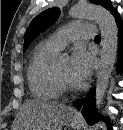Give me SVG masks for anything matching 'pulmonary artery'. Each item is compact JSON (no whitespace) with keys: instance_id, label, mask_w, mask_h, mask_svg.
<instances>
[{"instance_id":"1","label":"pulmonary artery","mask_w":123,"mask_h":130,"mask_svg":"<svg viewBox=\"0 0 123 130\" xmlns=\"http://www.w3.org/2000/svg\"><path fill=\"white\" fill-rule=\"evenodd\" d=\"M95 36V27L92 24H70L50 36L46 43L57 51L62 50L68 43L76 39H90Z\"/></svg>"}]
</instances>
